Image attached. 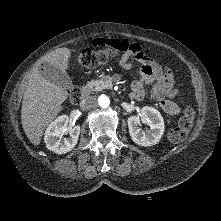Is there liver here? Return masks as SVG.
I'll return each instance as SVG.
<instances>
[{"label": "liver", "mask_w": 221, "mask_h": 221, "mask_svg": "<svg viewBox=\"0 0 221 221\" xmlns=\"http://www.w3.org/2000/svg\"><path fill=\"white\" fill-rule=\"evenodd\" d=\"M70 58V49H56L39 59L30 72L22 101L21 122L27 138L35 146L40 144L45 128L56 118L68 98L66 88L46 80L39 68L42 63H47L65 72Z\"/></svg>", "instance_id": "1"}]
</instances>
